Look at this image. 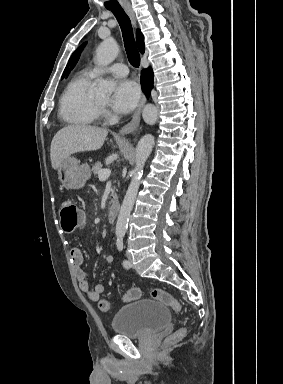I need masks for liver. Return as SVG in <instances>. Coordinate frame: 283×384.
Instances as JSON below:
<instances>
[{"instance_id": "obj_1", "label": "liver", "mask_w": 283, "mask_h": 384, "mask_svg": "<svg viewBox=\"0 0 283 384\" xmlns=\"http://www.w3.org/2000/svg\"><path fill=\"white\" fill-rule=\"evenodd\" d=\"M108 132L105 128H92L86 124L66 126L55 134L51 142L52 168L59 170L62 162L76 152H91L102 148Z\"/></svg>"}]
</instances>
